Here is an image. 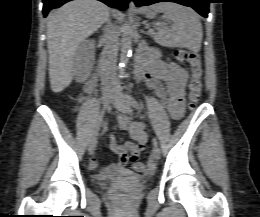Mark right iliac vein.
<instances>
[{
	"label": "right iliac vein",
	"mask_w": 260,
	"mask_h": 217,
	"mask_svg": "<svg viewBox=\"0 0 260 217\" xmlns=\"http://www.w3.org/2000/svg\"><path fill=\"white\" fill-rule=\"evenodd\" d=\"M113 100V95L111 93H105L103 95L102 98V102H103V106L104 108H107L108 105L111 103V101ZM96 144H97V138L94 137L88 147V152L90 155L94 154L95 148H96Z\"/></svg>",
	"instance_id": "right-iliac-vein-1"
}]
</instances>
